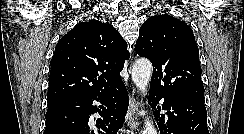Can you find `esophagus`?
Returning a JSON list of instances; mask_svg holds the SVG:
<instances>
[{
    "label": "esophagus",
    "mask_w": 244,
    "mask_h": 134,
    "mask_svg": "<svg viewBox=\"0 0 244 134\" xmlns=\"http://www.w3.org/2000/svg\"><path fill=\"white\" fill-rule=\"evenodd\" d=\"M140 103L132 94L130 99V105L127 111L126 119L130 128L136 130L139 127V119L137 117V112L139 111Z\"/></svg>",
    "instance_id": "1"
}]
</instances>
